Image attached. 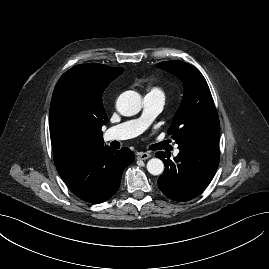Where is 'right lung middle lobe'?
Segmentation results:
<instances>
[{
	"instance_id": "right-lung-middle-lobe-1",
	"label": "right lung middle lobe",
	"mask_w": 269,
	"mask_h": 269,
	"mask_svg": "<svg viewBox=\"0 0 269 269\" xmlns=\"http://www.w3.org/2000/svg\"><path fill=\"white\" fill-rule=\"evenodd\" d=\"M84 135L85 130L77 126L71 119L64 118L61 121L59 129V139L63 145H74L81 141Z\"/></svg>"
}]
</instances>
